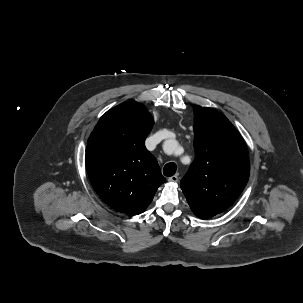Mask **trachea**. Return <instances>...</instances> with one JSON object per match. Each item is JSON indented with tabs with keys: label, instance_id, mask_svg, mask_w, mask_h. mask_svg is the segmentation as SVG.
Wrapping results in <instances>:
<instances>
[{
	"label": "trachea",
	"instance_id": "obj_1",
	"mask_svg": "<svg viewBox=\"0 0 303 303\" xmlns=\"http://www.w3.org/2000/svg\"><path fill=\"white\" fill-rule=\"evenodd\" d=\"M177 170V166L175 163L173 162H170V163H167L163 169V174L167 177H171L175 174Z\"/></svg>",
	"mask_w": 303,
	"mask_h": 303
}]
</instances>
